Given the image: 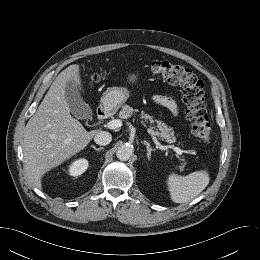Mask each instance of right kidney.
<instances>
[{"label": "right kidney", "instance_id": "1", "mask_svg": "<svg viewBox=\"0 0 260 260\" xmlns=\"http://www.w3.org/2000/svg\"><path fill=\"white\" fill-rule=\"evenodd\" d=\"M88 168V161L86 159H78L69 165V174L71 176H79Z\"/></svg>", "mask_w": 260, "mask_h": 260}]
</instances>
